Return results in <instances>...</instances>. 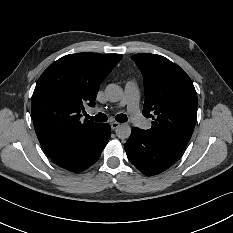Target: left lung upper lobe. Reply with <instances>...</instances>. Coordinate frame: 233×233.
I'll list each match as a JSON object with an SVG mask.
<instances>
[{"mask_svg": "<svg viewBox=\"0 0 233 233\" xmlns=\"http://www.w3.org/2000/svg\"><path fill=\"white\" fill-rule=\"evenodd\" d=\"M144 78L142 114L152 118L144 133L155 140L181 148L193 133L198 99L189 76L167 58L155 54L132 56Z\"/></svg>", "mask_w": 233, "mask_h": 233, "instance_id": "5c2ea615", "label": "left lung upper lobe"}]
</instances>
